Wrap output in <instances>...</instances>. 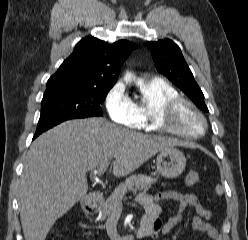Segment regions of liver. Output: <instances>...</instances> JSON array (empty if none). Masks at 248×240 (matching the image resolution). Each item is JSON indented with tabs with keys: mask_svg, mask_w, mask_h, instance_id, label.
I'll return each instance as SVG.
<instances>
[{
	"mask_svg": "<svg viewBox=\"0 0 248 240\" xmlns=\"http://www.w3.org/2000/svg\"><path fill=\"white\" fill-rule=\"evenodd\" d=\"M183 145L103 118L69 120L43 133L27 153L19 188L25 240H45L57 219L85 198L88 170L114 158L112 173L123 177L156 153Z\"/></svg>",
	"mask_w": 248,
	"mask_h": 240,
	"instance_id": "1",
	"label": "liver"
}]
</instances>
